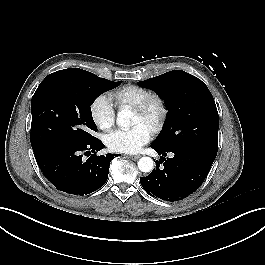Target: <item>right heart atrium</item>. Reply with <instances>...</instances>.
I'll list each match as a JSON object with an SVG mask.
<instances>
[{
	"label": "right heart atrium",
	"mask_w": 265,
	"mask_h": 265,
	"mask_svg": "<svg viewBox=\"0 0 265 265\" xmlns=\"http://www.w3.org/2000/svg\"><path fill=\"white\" fill-rule=\"evenodd\" d=\"M89 112L93 123L101 130H109L115 123L113 105L105 95H99L94 99Z\"/></svg>",
	"instance_id": "right-heart-atrium-1"
}]
</instances>
